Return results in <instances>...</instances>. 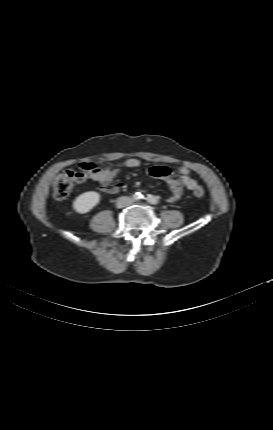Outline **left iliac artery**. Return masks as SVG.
Instances as JSON below:
<instances>
[{"instance_id":"left-iliac-artery-1","label":"left iliac artery","mask_w":273,"mask_h":430,"mask_svg":"<svg viewBox=\"0 0 273 430\" xmlns=\"http://www.w3.org/2000/svg\"><path fill=\"white\" fill-rule=\"evenodd\" d=\"M146 200L151 204H158L159 203L158 199L155 196L150 195V194L147 195Z\"/></svg>"}]
</instances>
